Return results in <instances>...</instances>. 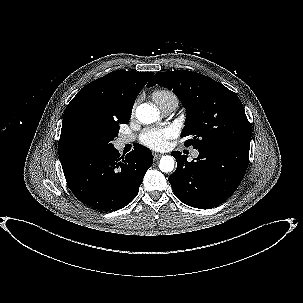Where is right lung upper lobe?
Wrapping results in <instances>:
<instances>
[{
	"mask_svg": "<svg viewBox=\"0 0 303 303\" xmlns=\"http://www.w3.org/2000/svg\"><path fill=\"white\" fill-rule=\"evenodd\" d=\"M153 72L114 71L84 86L68 104L62 122L58 153L61 163L81 155L69 143V131L79 115H92L106 124L127 123L141 89Z\"/></svg>",
	"mask_w": 303,
	"mask_h": 303,
	"instance_id": "obj_1",
	"label": "right lung upper lobe"
}]
</instances>
